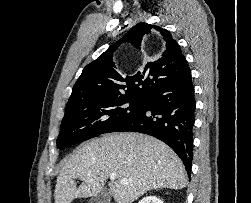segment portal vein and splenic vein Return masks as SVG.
<instances>
[{
  "mask_svg": "<svg viewBox=\"0 0 251 203\" xmlns=\"http://www.w3.org/2000/svg\"><path fill=\"white\" fill-rule=\"evenodd\" d=\"M117 178V175L115 173H112L110 175V180H115ZM121 183L127 184V181L125 179L121 180Z\"/></svg>",
  "mask_w": 251,
  "mask_h": 203,
  "instance_id": "1",
  "label": "portal vein and splenic vein"
}]
</instances>
